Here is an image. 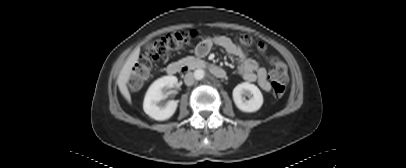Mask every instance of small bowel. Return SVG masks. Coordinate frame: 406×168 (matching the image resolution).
I'll return each instance as SVG.
<instances>
[{
    "label": "small bowel",
    "mask_w": 406,
    "mask_h": 168,
    "mask_svg": "<svg viewBox=\"0 0 406 168\" xmlns=\"http://www.w3.org/2000/svg\"><path fill=\"white\" fill-rule=\"evenodd\" d=\"M213 46L221 47L237 61L238 73L247 82H256L259 87L268 92L271 88L266 70L255 59L247 57L244 51L226 36H216L203 40L196 48V54L203 57Z\"/></svg>",
    "instance_id": "small-bowel-1"
}]
</instances>
